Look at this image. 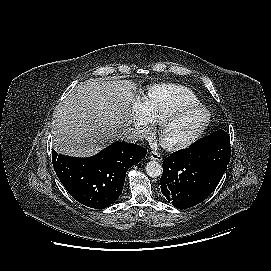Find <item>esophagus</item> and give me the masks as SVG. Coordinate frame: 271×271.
I'll return each instance as SVG.
<instances>
[{"label": "esophagus", "instance_id": "esophagus-1", "mask_svg": "<svg viewBox=\"0 0 271 271\" xmlns=\"http://www.w3.org/2000/svg\"><path fill=\"white\" fill-rule=\"evenodd\" d=\"M149 159L161 162L163 157H162V155L160 153H158L156 151H151L150 155H149Z\"/></svg>", "mask_w": 271, "mask_h": 271}]
</instances>
